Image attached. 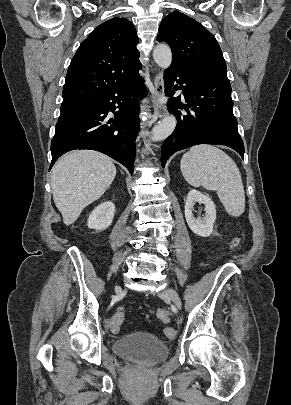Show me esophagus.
I'll use <instances>...</instances> for the list:
<instances>
[{
  "mask_svg": "<svg viewBox=\"0 0 291 405\" xmlns=\"http://www.w3.org/2000/svg\"><path fill=\"white\" fill-rule=\"evenodd\" d=\"M154 83V112L159 118H163L167 115L168 111L164 104L160 103L159 100L164 94V80L163 74L161 72L157 73L153 78Z\"/></svg>",
  "mask_w": 291,
  "mask_h": 405,
  "instance_id": "34e87169",
  "label": "esophagus"
}]
</instances>
